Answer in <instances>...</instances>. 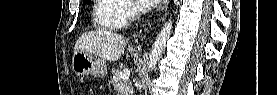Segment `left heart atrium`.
<instances>
[{
  "label": "left heart atrium",
  "mask_w": 277,
  "mask_h": 95,
  "mask_svg": "<svg viewBox=\"0 0 277 95\" xmlns=\"http://www.w3.org/2000/svg\"><path fill=\"white\" fill-rule=\"evenodd\" d=\"M135 2L141 9H152L156 5L157 0H135Z\"/></svg>",
  "instance_id": "39dd6f15"
}]
</instances>
